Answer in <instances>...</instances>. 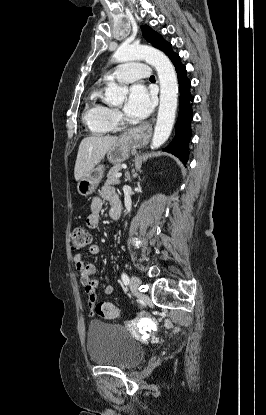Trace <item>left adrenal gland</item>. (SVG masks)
<instances>
[{"label": "left adrenal gland", "instance_id": "obj_1", "mask_svg": "<svg viewBox=\"0 0 266 415\" xmlns=\"http://www.w3.org/2000/svg\"><path fill=\"white\" fill-rule=\"evenodd\" d=\"M125 176H126V180L131 181L130 174L128 171L126 172Z\"/></svg>", "mask_w": 266, "mask_h": 415}]
</instances>
